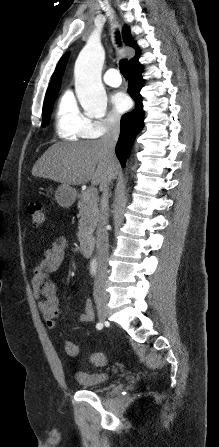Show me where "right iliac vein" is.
Segmentation results:
<instances>
[{"label":"right iliac vein","instance_id":"obj_1","mask_svg":"<svg viewBox=\"0 0 219 447\" xmlns=\"http://www.w3.org/2000/svg\"><path fill=\"white\" fill-rule=\"evenodd\" d=\"M98 317L101 322H104L107 317V308L105 306L98 307Z\"/></svg>","mask_w":219,"mask_h":447}]
</instances>
